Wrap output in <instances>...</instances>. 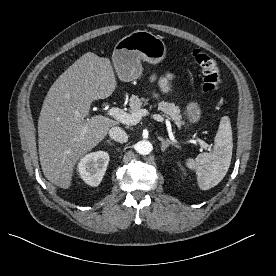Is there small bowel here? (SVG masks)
<instances>
[{
    "mask_svg": "<svg viewBox=\"0 0 276 276\" xmlns=\"http://www.w3.org/2000/svg\"><path fill=\"white\" fill-rule=\"evenodd\" d=\"M155 79V78H153ZM175 79L173 74H166L158 79L160 92L165 94L170 90L172 81ZM157 96V95H156Z\"/></svg>",
    "mask_w": 276,
    "mask_h": 276,
    "instance_id": "c3829d8e",
    "label": "small bowel"
}]
</instances>
